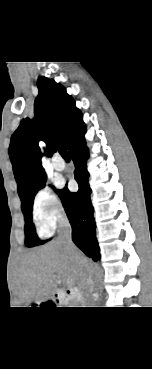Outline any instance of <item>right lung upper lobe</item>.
<instances>
[{"instance_id": "cb5924a9", "label": "right lung upper lobe", "mask_w": 152, "mask_h": 369, "mask_svg": "<svg viewBox=\"0 0 152 369\" xmlns=\"http://www.w3.org/2000/svg\"><path fill=\"white\" fill-rule=\"evenodd\" d=\"M38 88L34 118L22 120L9 146V157L21 200L30 188L45 178L38 141L46 142L44 155L52 156L60 144L69 149L86 131L81 111L60 83L39 77Z\"/></svg>"}]
</instances>
